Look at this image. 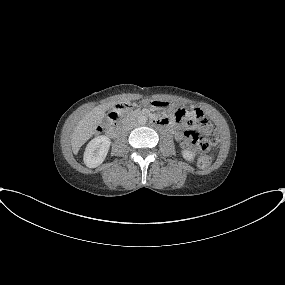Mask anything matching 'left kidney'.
Here are the masks:
<instances>
[{
    "label": "left kidney",
    "mask_w": 285,
    "mask_h": 285,
    "mask_svg": "<svg viewBox=\"0 0 285 285\" xmlns=\"http://www.w3.org/2000/svg\"><path fill=\"white\" fill-rule=\"evenodd\" d=\"M182 155L188 161H193V159H194V153L192 151L183 150Z\"/></svg>",
    "instance_id": "left-kidney-1"
}]
</instances>
